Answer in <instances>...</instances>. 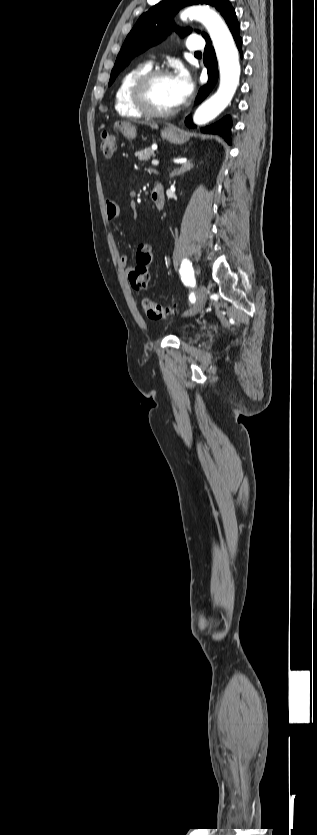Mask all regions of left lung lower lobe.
Here are the masks:
<instances>
[{
  "mask_svg": "<svg viewBox=\"0 0 317 835\" xmlns=\"http://www.w3.org/2000/svg\"><path fill=\"white\" fill-rule=\"evenodd\" d=\"M225 21H226V23H227V25H228V27H229L232 35H233V38L236 42V45H237L238 49L241 52L242 39L239 35L240 25L237 21L235 10L233 9V7L230 8L228 16L226 17ZM206 41H207V45H206L205 51H204V64L207 67L209 80H208V83L206 85H204L203 87L200 88V90L198 92V96L196 98V103L201 102L202 100H204L207 97V95L211 92V90L213 89L214 85L216 84V82L218 80V66H217L215 51L212 47L210 38H207ZM185 124L188 127H195V125L192 123L191 116H188L186 118ZM230 128H231V119H230L229 116H226L223 119H221L219 122H217V123H215V124H213L209 127L202 128L201 131L204 132V133L219 134L229 144H231Z\"/></svg>",
  "mask_w": 317,
  "mask_h": 835,
  "instance_id": "obj_1",
  "label": "left lung lower lobe"
}]
</instances>
